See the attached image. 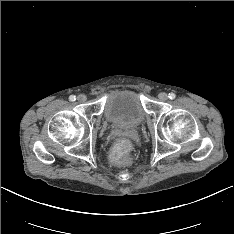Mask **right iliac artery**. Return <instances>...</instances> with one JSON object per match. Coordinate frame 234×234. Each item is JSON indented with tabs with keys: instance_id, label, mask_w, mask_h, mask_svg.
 I'll return each instance as SVG.
<instances>
[{
	"instance_id": "1",
	"label": "right iliac artery",
	"mask_w": 234,
	"mask_h": 234,
	"mask_svg": "<svg viewBox=\"0 0 234 234\" xmlns=\"http://www.w3.org/2000/svg\"><path fill=\"white\" fill-rule=\"evenodd\" d=\"M69 100H70V101H75V100H76V97H75L74 95H71V96L69 97Z\"/></svg>"
}]
</instances>
